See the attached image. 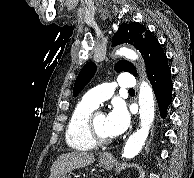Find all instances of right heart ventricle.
I'll return each mask as SVG.
<instances>
[{"instance_id": "right-heart-ventricle-1", "label": "right heart ventricle", "mask_w": 194, "mask_h": 178, "mask_svg": "<svg viewBox=\"0 0 194 178\" xmlns=\"http://www.w3.org/2000/svg\"><path fill=\"white\" fill-rule=\"evenodd\" d=\"M95 109L96 106L84 99L74 107L65 132L66 143L70 148L87 151L96 147L87 125L88 117Z\"/></svg>"}]
</instances>
